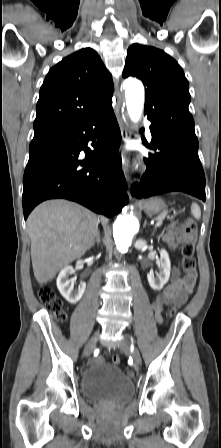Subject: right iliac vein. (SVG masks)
<instances>
[{"label": "right iliac vein", "instance_id": "obj_1", "mask_svg": "<svg viewBox=\"0 0 221 448\" xmlns=\"http://www.w3.org/2000/svg\"><path fill=\"white\" fill-rule=\"evenodd\" d=\"M98 334H99V333H96V334L90 339V341L88 342V344L86 345L85 350H84V353H85L86 356H89V355L93 352V350L95 349V347H96V343H97V340H98Z\"/></svg>", "mask_w": 221, "mask_h": 448}]
</instances>
